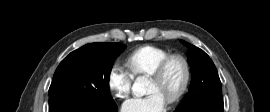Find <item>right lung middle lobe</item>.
Masks as SVG:
<instances>
[{
  "instance_id": "right-lung-middle-lobe-1",
  "label": "right lung middle lobe",
  "mask_w": 270,
  "mask_h": 112,
  "mask_svg": "<svg viewBox=\"0 0 270 112\" xmlns=\"http://www.w3.org/2000/svg\"><path fill=\"white\" fill-rule=\"evenodd\" d=\"M121 43H91L71 52L57 67L49 88V106L80 98L102 105L115 104L109 89V76Z\"/></svg>"
}]
</instances>
